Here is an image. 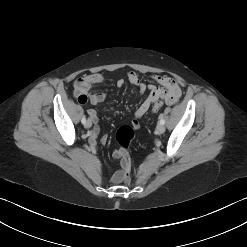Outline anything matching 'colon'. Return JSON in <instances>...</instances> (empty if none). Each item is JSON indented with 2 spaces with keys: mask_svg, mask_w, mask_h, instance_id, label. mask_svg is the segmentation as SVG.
<instances>
[{
  "mask_svg": "<svg viewBox=\"0 0 247 247\" xmlns=\"http://www.w3.org/2000/svg\"><path fill=\"white\" fill-rule=\"evenodd\" d=\"M163 106L164 101L159 99L153 104L152 110L153 112H159ZM137 128L138 122L134 120L130 125L120 127L116 133V141L119 146L116 152L121 159V179L125 183H128L131 178V162L128 153V147L135 137V130Z\"/></svg>",
  "mask_w": 247,
  "mask_h": 247,
  "instance_id": "5ec220e1",
  "label": "colon"
}]
</instances>
